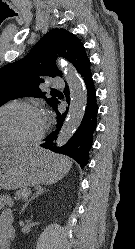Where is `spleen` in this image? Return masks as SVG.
Segmentation results:
<instances>
[{
    "instance_id": "1",
    "label": "spleen",
    "mask_w": 135,
    "mask_h": 249,
    "mask_svg": "<svg viewBox=\"0 0 135 249\" xmlns=\"http://www.w3.org/2000/svg\"><path fill=\"white\" fill-rule=\"evenodd\" d=\"M57 157L60 159L61 163L63 164H67L68 162H70V160L66 157L63 156H57Z\"/></svg>"
}]
</instances>
